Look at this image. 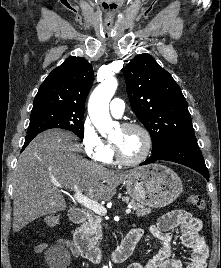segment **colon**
Wrapping results in <instances>:
<instances>
[{
  "label": "colon",
  "mask_w": 221,
  "mask_h": 268,
  "mask_svg": "<svg viewBox=\"0 0 221 268\" xmlns=\"http://www.w3.org/2000/svg\"><path fill=\"white\" fill-rule=\"evenodd\" d=\"M188 201L197 209L204 210L206 208V201L200 195H191ZM60 218L57 214H51L44 218V225L49 228H54L59 225Z\"/></svg>",
  "instance_id": "1"
}]
</instances>
